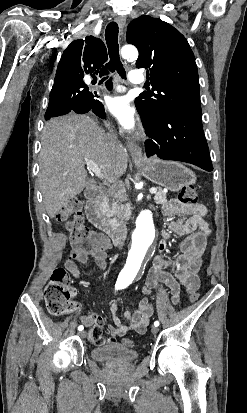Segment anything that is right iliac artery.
<instances>
[{
  "mask_svg": "<svg viewBox=\"0 0 247 413\" xmlns=\"http://www.w3.org/2000/svg\"><path fill=\"white\" fill-rule=\"evenodd\" d=\"M119 289H122V286L116 284V285H115V290H119ZM83 329H84V327H83L82 325H80V326L78 327V330H79V331H82Z\"/></svg>",
  "mask_w": 247,
  "mask_h": 413,
  "instance_id": "obj_1",
  "label": "right iliac artery"
}]
</instances>
